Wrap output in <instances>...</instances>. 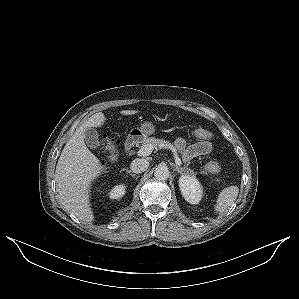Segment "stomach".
<instances>
[{"mask_svg":"<svg viewBox=\"0 0 299 299\" xmlns=\"http://www.w3.org/2000/svg\"><path fill=\"white\" fill-rule=\"evenodd\" d=\"M155 133V127L152 122L145 121L139 128H133L128 134L129 141H141L149 135Z\"/></svg>","mask_w":299,"mask_h":299,"instance_id":"stomach-1","label":"stomach"}]
</instances>
